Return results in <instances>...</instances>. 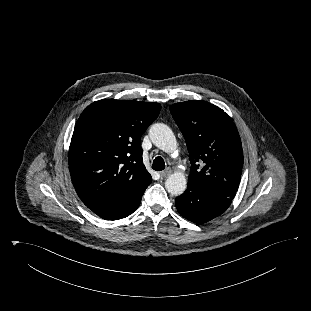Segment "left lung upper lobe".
Returning a JSON list of instances; mask_svg holds the SVG:
<instances>
[{"mask_svg": "<svg viewBox=\"0 0 311 311\" xmlns=\"http://www.w3.org/2000/svg\"><path fill=\"white\" fill-rule=\"evenodd\" d=\"M181 130L191 163L188 180L233 199L239 187L243 150L231 117L206 101H186L170 106Z\"/></svg>", "mask_w": 311, "mask_h": 311, "instance_id": "obj_1", "label": "left lung upper lobe"}]
</instances>
